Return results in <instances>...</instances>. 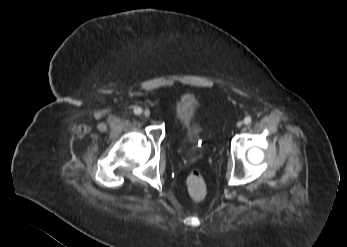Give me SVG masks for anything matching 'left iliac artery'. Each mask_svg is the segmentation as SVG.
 Returning <instances> with one entry per match:
<instances>
[{
    "instance_id": "1",
    "label": "left iliac artery",
    "mask_w": 347,
    "mask_h": 247,
    "mask_svg": "<svg viewBox=\"0 0 347 247\" xmlns=\"http://www.w3.org/2000/svg\"><path fill=\"white\" fill-rule=\"evenodd\" d=\"M251 121H252V119H251L250 116H247V117L244 118V123H245V124H250Z\"/></svg>"
}]
</instances>
